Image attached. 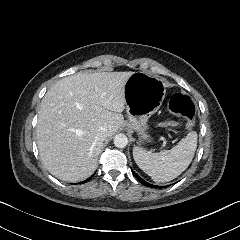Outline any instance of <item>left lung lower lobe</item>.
I'll return each mask as SVG.
<instances>
[{"label":"left lung lower lobe","mask_w":240,"mask_h":240,"mask_svg":"<svg viewBox=\"0 0 240 240\" xmlns=\"http://www.w3.org/2000/svg\"><path fill=\"white\" fill-rule=\"evenodd\" d=\"M134 176L138 179V181H140L143 185L148 186V187H157L154 186L152 184L147 183L146 181H144L140 176H138L135 172H133Z\"/></svg>","instance_id":"0a47b994"}]
</instances>
